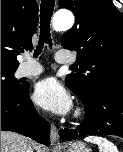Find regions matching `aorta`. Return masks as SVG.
<instances>
[{
	"mask_svg": "<svg viewBox=\"0 0 123 152\" xmlns=\"http://www.w3.org/2000/svg\"><path fill=\"white\" fill-rule=\"evenodd\" d=\"M52 24L55 31L69 30L74 24V15L70 11H58Z\"/></svg>",
	"mask_w": 123,
	"mask_h": 152,
	"instance_id": "1",
	"label": "aorta"
}]
</instances>
